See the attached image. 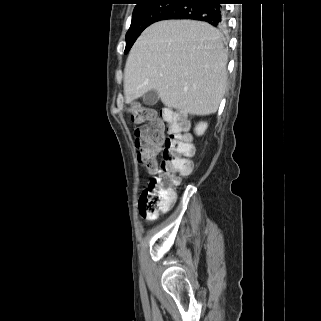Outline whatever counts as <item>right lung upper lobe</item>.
<instances>
[{
	"label": "right lung upper lobe",
	"instance_id": "1",
	"mask_svg": "<svg viewBox=\"0 0 321 321\" xmlns=\"http://www.w3.org/2000/svg\"><path fill=\"white\" fill-rule=\"evenodd\" d=\"M148 1H152V0H137L138 3L136 6L141 5V4L148 2ZM177 1H181V0H177Z\"/></svg>",
	"mask_w": 321,
	"mask_h": 321
}]
</instances>
